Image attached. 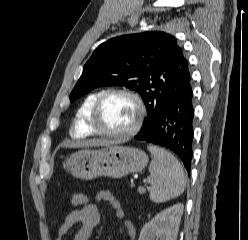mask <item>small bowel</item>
<instances>
[{"label":"small bowel","instance_id":"obj_1","mask_svg":"<svg viewBox=\"0 0 248 240\" xmlns=\"http://www.w3.org/2000/svg\"><path fill=\"white\" fill-rule=\"evenodd\" d=\"M95 199L97 202H107L114 210V214L118 219L124 218V210L112 192L104 190L99 191L97 192ZM100 221L101 215L99 207L96 203L86 204L80 208H76L66 215L64 222L58 230L56 240H63L76 223H80L81 227L74 236V240H89ZM123 226L129 236V240H134L136 231L132 223L129 221H124Z\"/></svg>","mask_w":248,"mask_h":240}]
</instances>
